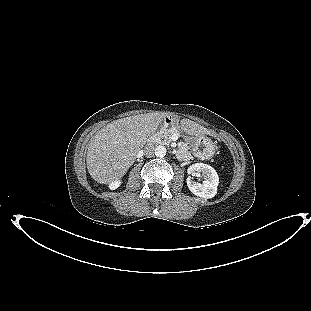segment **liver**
<instances>
[{
    "label": "liver",
    "mask_w": 311,
    "mask_h": 311,
    "mask_svg": "<svg viewBox=\"0 0 311 311\" xmlns=\"http://www.w3.org/2000/svg\"><path fill=\"white\" fill-rule=\"evenodd\" d=\"M165 116L157 112L139 114L115 120L99 130L90 140L87 152L90 176L100 184L122 178ZM181 124L192 134L206 132L204 127L188 119L181 120Z\"/></svg>",
    "instance_id": "obj_1"
}]
</instances>
